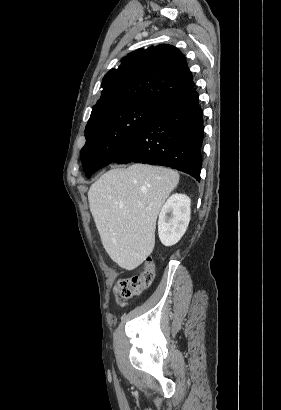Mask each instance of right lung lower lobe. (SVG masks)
I'll return each mask as SVG.
<instances>
[{
	"label": "right lung lower lobe",
	"instance_id": "1",
	"mask_svg": "<svg viewBox=\"0 0 281 410\" xmlns=\"http://www.w3.org/2000/svg\"><path fill=\"white\" fill-rule=\"evenodd\" d=\"M202 113L196 90L163 105L113 162L171 167L200 181L204 137Z\"/></svg>",
	"mask_w": 281,
	"mask_h": 410
}]
</instances>
